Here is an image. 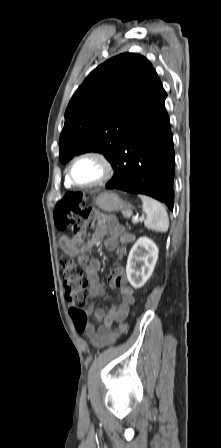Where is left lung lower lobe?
<instances>
[{
  "label": "left lung lower lobe",
  "mask_w": 221,
  "mask_h": 448,
  "mask_svg": "<svg viewBox=\"0 0 221 448\" xmlns=\"http://www.w3.org/2000/svg\"><path fill=\"white\" fill-rule=\"evenodd\" d=\"M164 92L143 112L121 141L108 189L151 196L173 210L175 157Z\"/></svg>",
  "instance_id": "obj_1"
}]
</instances>
